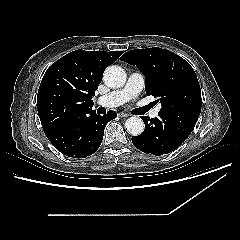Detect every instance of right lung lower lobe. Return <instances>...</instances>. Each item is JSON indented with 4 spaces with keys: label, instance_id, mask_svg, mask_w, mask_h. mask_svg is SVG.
<instances>
[{
    "label": "right lung lower lobe",
    "instance_id": "right-lung-lower-lobe-1",
    "mask_svg": "<svg viewBox=\"0 0 240 240\" xmlns=\"http://www.w3.org/2000/svg\"><path fill=\"white\" fill-rule=\"evenodd\" d=\"M117 117L109 111L106 115L95 112L71 121L61 128L46 134L52 145L68 157L85 158L99 148L106 124Z\"/></svg>",
    "mask_w": 240,
    "mask_h": 240
}]
</instances>
